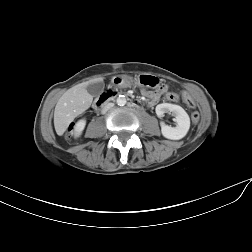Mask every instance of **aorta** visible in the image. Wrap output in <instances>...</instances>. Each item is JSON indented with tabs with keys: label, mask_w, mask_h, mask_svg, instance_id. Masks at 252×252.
<instances>
[{
	"label": "aorta",
	"mask_w": 252,
	"mask_h": 252,
	"mask_svg": "<svg viewBox=\"0 0 252 252\" xmlns=\"http://www.w3.org/2000/svg\"><path fill=\"white\" fill-rule=\"evenodd\" d=\"M116 102L119 106H124L126 104L127 100L124 95H119Z\"/></svg>",
	"instance_id": "obj_1"
}]
</instances>
